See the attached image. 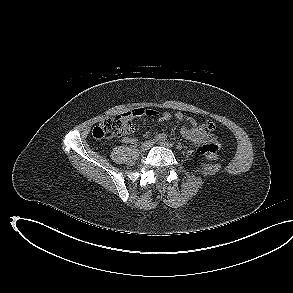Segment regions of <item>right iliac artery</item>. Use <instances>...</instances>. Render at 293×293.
<instances>
[{
    "label": "right iliac artery",
    "instance_id": "obj_1",
    "mask_svg": "<svg viewBox=\"0 0 293 293\" xmlns=\"http://www.w3.org/2000/svg\"><path fill=\"white\" fill-rule=\"evenodd\" d=\"M167 139V135L164 133L158 134L155 136V141H165Z\"/></svg>",
    "mask_w": 293,
    "mask_h": 293
}]
</instances>
